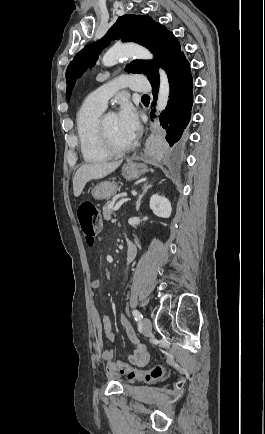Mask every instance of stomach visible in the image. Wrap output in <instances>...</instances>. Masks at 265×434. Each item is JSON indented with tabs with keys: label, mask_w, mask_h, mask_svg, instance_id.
Wrapping results in <instances>:
<instances>
[{
	"label": "stomach",
	"mask_w": 265,
	"mask_h": 434,
	"mask_svg": "<svg viewBox=\"0 0 265 434\" xmlns=\"http://www.w3.org/2000/svg\"><path fill=\"white\" fill-rule=\"evenodd\" d=\"M145 172H147L145 164H134V162H127L122 168V174L126 180H138ZM118 190L120 188L116 182H100L94 186L92 196L95 200H109Z\"/></svg>",
	"instance_id": "stomach-1"
}]
</instances>
